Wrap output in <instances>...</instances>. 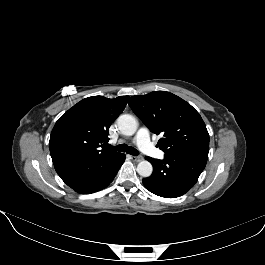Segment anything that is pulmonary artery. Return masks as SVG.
<instances>
[{
  "label": "pulmonary artery",
  "instance_id": "obj_1",
  "mask_svg": "<svg viewBox=\"0 0 265 265\" xmlns=\"http://www.w3.org/2000/svg\"><path fill=\"white\" fill-rule=\"evenodd\" d=\"M135 141L139 149L151 157H162V153L157 149L149 139L146 129H140L136 135Z\"/></svg>",
  "mask_w": 265,
  "mask_h": 265
}]
</instances>
